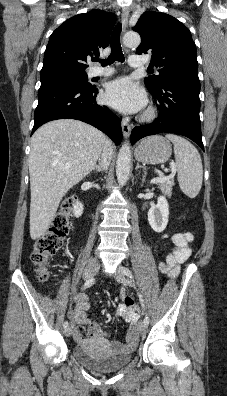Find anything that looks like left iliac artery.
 Wrapping results in <instances>:
<instances>
[{"label":"left iliac artery","instance_id":"left-iliac-artery-1","mask_svg":"<svg viewBox=\"0 0 227 396\" xmlns=\"http://www.w3.org/2000/svg\"><path fill=\"white\" fill-rule=\"evenodd\" d=\"M123 272H124V274H125L126 276H128V277H130V278H133L132 272H131L128 268L123 267ZM138 297H139V301H140V303H141L143 309L145 310L146 307H145V302H144V299H143L142 294L139 293V294H138ZM144 324H145V325H148V324H149V318H148V315H147L146 313H145V318H144Z\"/></svg>","mask_w":227,"mask_h":396}]
</instances>
